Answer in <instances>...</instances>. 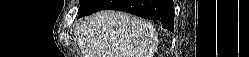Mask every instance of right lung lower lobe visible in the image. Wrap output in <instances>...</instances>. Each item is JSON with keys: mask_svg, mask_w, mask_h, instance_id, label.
Returning <instances> with one entry per match:
<instances>
[{"mask_svg": "<svg viewBox=\"0 0 249 57\" xmlns=\"http://www.w3.org/2000/svg\"><path fill=\"white\" fill-rule=\"evenodd\" d=\"M172 0H91L89 5L78 11V18L103 9L125 11L147 19H157L162 27L173 31L174 11Z\"/></svg>", "mask_w": 249, "mask_h": 57, "instance_id": "1", "label": "right lung lower lobe"}]
</instances>
